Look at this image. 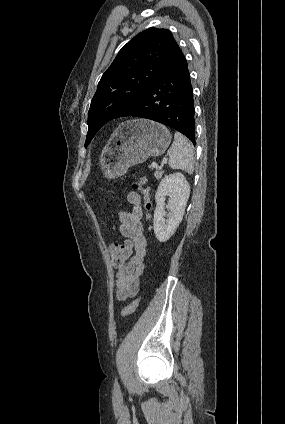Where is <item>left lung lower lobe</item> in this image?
Here are the masks:
<instances>
[{"mask_svg":"<svg viewBox=\"0 0 285 424\" xmlns=\"http://www.w3.org/2000/svg\"><path fill=\"white\" fill-rule=\"evenodd\" d=\"M124 116L162 123L195 144L193 88L187 61L178 45L158 78L117 117Z\"/></svg>","mask_w":285,"mask_h":424,"instance_id":"left-lung-lower-lobe-1","label":"left lung lower lobe"}]
</instances>
